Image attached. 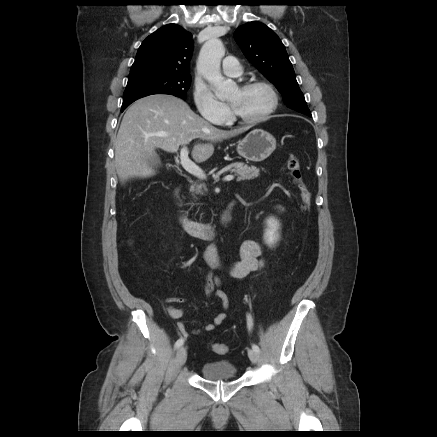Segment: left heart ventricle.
I'll list each match as a JSON object with an SVG mask.
<instances>
[{
  "instance_id": "1",
  "label": "left heart ventricle",
  "mask_w": 437,
  "mask_h": 437,
  "mask_svg": "<svg viewBox=\"0 0 437 437\" xmlns=\"http://www.w3.org/2000/svg\"><path fill=\"white\" fill-rule=\"evenodd\" d=\"M235 112L243 117H255L263 113L270 104V95L262 87L237 88L229 96Z\"/></svg>"
}]
</instances>
